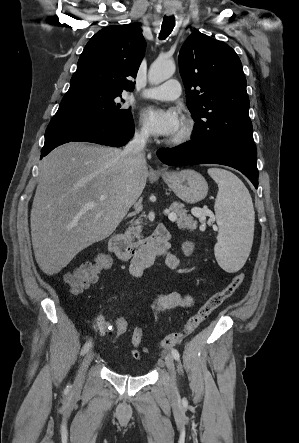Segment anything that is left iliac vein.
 Returning <instances> with one entry per match:
<instances>
[{"label":"left iliac vein","mask_w":299,"mask_h":443,"mask_svg":"<svg viewBox=\"0 0 299 443\" xmlns=\"http://www.w3.org/2000/svg\"><path fill=\"white\" fill-rule=\"evenodd\" d=\"M165 364L170 372L172 392L174 395H177L178 388H177V382H176V372H175V367H174V359H173L172 355H170V354L166 355Z\"/></svg>","instance_id":"obj_1"}]
</instances>
